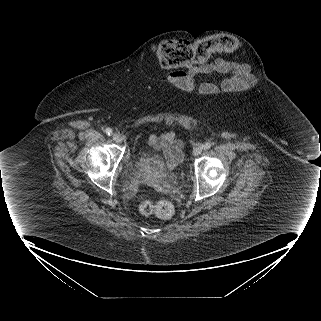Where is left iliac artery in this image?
<instances>
[{
    "mask_svg": "<svg viewBox=\"0 0 321 321\" xmlns=\"http://www.w3.org/2000/svg\"><path fill=\"white\" fill-rule=\"evenodd\" d=\"M204 150H208L211 147V143L210 142H206L202 145Z\"/></svg>",
    "mask_w": 321,
    "mask_h": 321,
    "instance_id": "obj_1",
    "label": "left iliac artery"
}]
</instances>
